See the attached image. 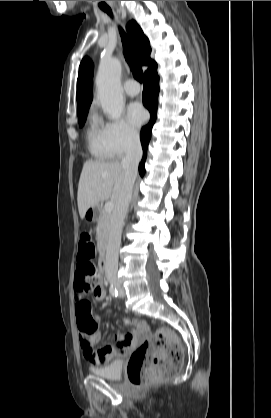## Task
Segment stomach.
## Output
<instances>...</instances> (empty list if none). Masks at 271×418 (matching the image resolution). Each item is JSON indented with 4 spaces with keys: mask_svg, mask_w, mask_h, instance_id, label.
Here are the masks:
<instances>
[{
    "mask_svg": "<svg viewBox=\"0 0 271 418\" xmlns=\"http://www.w3.org/2000/svg\"><path fill=\"white\" fill-rule=\"evenodd\" d=\"M98 213H99V206L98 205L97 206H94V207H90L85 212L84 218L87 221L94 222L98 218Z\"/></svg>",
    "mask_w": 271,
    "mask_h": 418,
    "instance_id": "1",
    "label": "stomach"
}]
</instances>
